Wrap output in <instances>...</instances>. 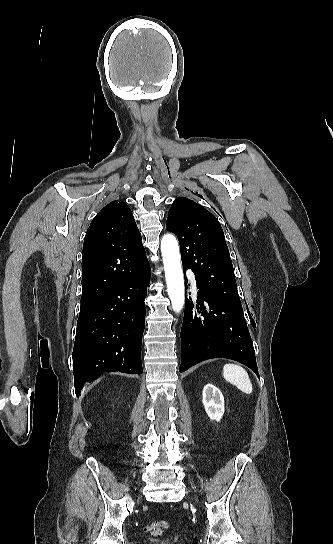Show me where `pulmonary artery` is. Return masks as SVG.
Returning <instances> with one entry per match:
<instances>
[{
    "label": "pulmonary artery",
    "mask_w": 333,
    "mask_h": 544,
    "mask_svg": "<svg viewBox=\"0 0 333 544\" xmlns=\"http://www.w3.org/2000/svg\"><path fill=\"white\" fill-rule=\"evenodd\" d=\"M188 276H189L190 280L192 281V284L195 286L196 283H195V280H194V275H193V273H192V272H188Z\"/></svg>",
    "instance_id": "1"
}]
</instances>
